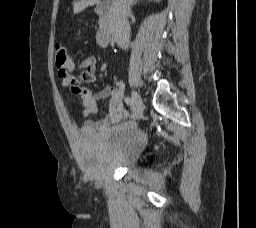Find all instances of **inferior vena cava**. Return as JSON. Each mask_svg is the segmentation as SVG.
<instances>
[{
  "label": "inferior vena cava",
  "instance_id": "1",
  "mask_svg": "<svg viewBox=\"0 0 256 228\" xmlns=\"http://www.w3.org/2000/svg\"><path fill=\"white\" fill-rule=\"evenodd\" d=\"M134 0H115L110 10L112 37L117 45L126 49L130 43V25L127 14Z\"/></svg>",
  "mask_w": 256,
  "mask_h": 228
}]
</instances>
